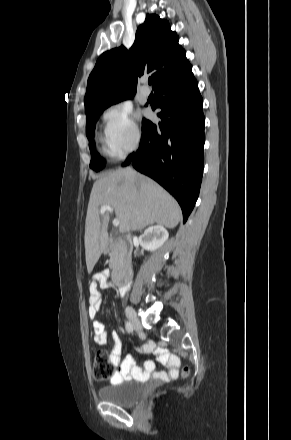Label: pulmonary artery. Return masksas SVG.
I'll use <instances>...</instances> for the list:
<instances>
[{"label": "pulmonary artery", "instance_id": "obj_1", "mask_svg": "<svg viewBox=\"0 0 291 440\" xmlns=\"http://www.w3.org/2000/svg\"><path fill=\"white\" fill-rule=\"evenodd\" d=\"M140 92H141V94H142L144 97H148L149 94H150V89H149L148 86L143 85V86L140 88Z\"/></svg>", "mask_w": 291, "mask_h": 440}]
</instances>
